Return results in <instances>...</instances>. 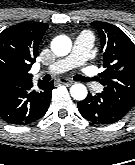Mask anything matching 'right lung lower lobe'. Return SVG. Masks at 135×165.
<instances>
[{
    "label": "right lung lower lobe",
    "mask_w": 135,
    "mask_h": 165,
    "mask_svg": "<svg viewBox=\"0 0 135 165\" xmlns=\"http://www.w3.org/2000/svg\"><path fill=\"white\" fill-rule=\"evenodd\" d=\"M53 81H39L38 88L28 82L12 81L0 84V117L12 124H29L48 110Z\"/></svg>",
    "instance_id": "98d812e1"
}]
</instances>
